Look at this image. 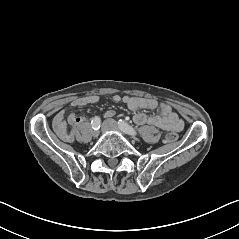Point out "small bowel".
<instances>
[{
  "instance_id": "1",
  "label": "small bowel",
  "mask_w": 239,
  "mask_h": 239,
  "mask_svg": "<svg viewBox=\"0 0 239 239\" xmlns=\"http://www.w3.org/2000/svg\"><path fill=\"white\" fill-rule=\"evenodd\" d=\"M99 97L96 95H89L85 97L78 98L71 103V107H82L88 104L96 103ZM112 100L116 103L122 101L125 103L132 111H134L133 120L138 125L150 124L159 127L163 130L179 132L183 129L184 123L179 118L176 112L166 103H160L155 99L147 97H130L119 95H114ZM142 109H158L159 114L148 116L140 110ZM114 115V111L109 110L106 116L110 117ZM67 121L76 127L85 122L84 117H77L73 113H69L67 110H61L54 118V129L58 136L66 141L72 142L74 140L75 131L68 130Z\"/></svg>"
}]
</instances>
